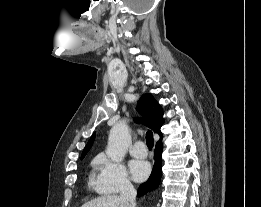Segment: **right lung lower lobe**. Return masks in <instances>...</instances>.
Listing matches in <instances>:
<instances>
[{
    "mask_svg": "<svg viewBox=\"0 0 261 207\" xmlns=\"http://www.w3.org/2000/svg\"><path fill=\"white\" fill-rule=\"evenodd\" d=\"M162 151H163L162 141L157 142L154 151V159H155L154 168L148 181L140 186L138 190L139 197L144 195L148 191L152 190L153 188L158 187L161 180Z\"/></svg>",
    "mask_w": 261,
    "mask_h": 207,
    "instance_id": "obj_1",
    "label": "right lung lower lobe"
}]
</instances>
